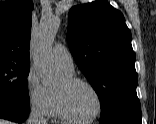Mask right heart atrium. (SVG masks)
Masks as SVG:
<instances>
[{
	"label": "right heart atrium",
	"mask_w": 156,
	"mask_h": 124,
	"mask_svg": "<svg viewBox=\"0 0 156 124\" xmlns=\"http://www.w3.org/2000/svg\"><path fill=\"white\" fill-rule=\"evenodd\" d=\"M25 87L30 107L41 116H51L53 103L51 89L41 82L33 68L27 73Z\"/></svg>",
	"instance_id": "obj_1"
}]
</instances>
